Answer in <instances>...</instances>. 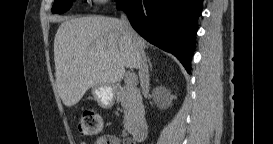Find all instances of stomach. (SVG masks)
I'll return each mask as SVG.
<instances>
[{"label": "stomach", "mask_w": 273, "mask_h": 144, "mask_svg": "<svg viewBox=\"0 0 273 144\" xmlns=\"http://www.w3.org/2000/svg\"><path fill=\"white\" fill-rule=\"evenodd\" d=\"M117 89L113 86L99 85L92 88V95L102 108H111L117 97Z\"/></svg>", "instance_id": "obj_1"}]
</instances>
